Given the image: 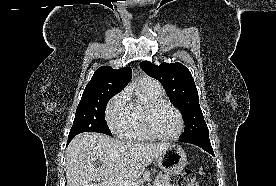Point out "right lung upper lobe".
I'll return each instance as SVG.
<instances>
[{
  "label": "right lung upper lobe",
  "instance_id": "cb5924a9",
  "mask_svg": "<svg viewBox=\"0 0 276 186\" xmlns=\"http://www.w3.org/2000/svg\"><path fill=\"white\" fill-rule=\"evenodd\" d=\"M132 71L128 67L116 70L110 66L98 68L84 92L88 91H114L120 92L128 84Z\"/></svg>",
  "mask_w": 276,
  "mask_h": 186
}]
</instances>
